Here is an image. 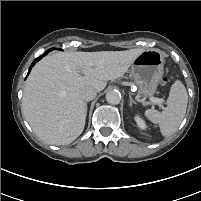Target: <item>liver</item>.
<instances>
[{"instance_id": "6515ba94", "label": "liver", "mask_w": 201, "mask_h": 201, "mask_svg": "<svg viewBox=\"0 0 201 201\" xmlns=\"http://www.w3.org/2000/svg\"><path fill=\"white\" fill-rule=\"evenodd\" d=\"M142 49L58 52L46 56L26 80L22 113L45 143L66 145L84 130L87 105L80 91H102L108 80L123 76Z\"/></svg>"}]
</instances>
